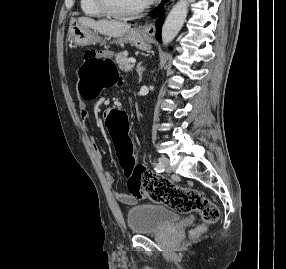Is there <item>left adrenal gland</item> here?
Returning a JSON list of instances; mask_svg holds the SVG:
<instances>
[{
	"mask_svg": "<svg viewBox=\"0 0 286 269\" xmlns=\"http://www.w3.org/2000/svg\"><path fill=\"white\" fill-rule=\"evenodd\" d=\"M144 70H145V68L142 67V62L138 63L137 67H136V71H137L138 76H139V83L142 80V73H143Z\"/></svg>",
	"mask_w": 286,
	"mask_h": 269,
	"instance_id": "1",
	"label": "left adrenal gland"
}]
</instances>
